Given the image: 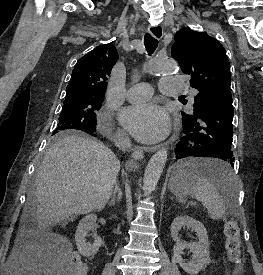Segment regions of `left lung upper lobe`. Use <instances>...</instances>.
<instances>
[{
  "instance_id": "1",
  "label": "left lung upper lobe",
  "mask_w": 263,
  "mask_h": 275,
  "mask_svg": "<svg viewBox=\"0 0 263 275\" xmlns=\"http://www.w3.org/2000/svg\"><path fill=\"white\" fill-rule=\"evenodd\" d=\"M174 40L171 55L182 72L191 76V86L199 91L194 98V115L182 112V121H193L208 103L231 95L230 65L224 47L206 32L182 28Z\"/></svg>"
}]
</instances>
